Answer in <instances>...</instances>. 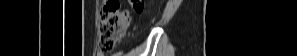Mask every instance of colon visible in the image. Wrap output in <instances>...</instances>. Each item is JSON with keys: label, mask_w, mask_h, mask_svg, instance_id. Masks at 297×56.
Listing matches in <instances>:
<instances>
[{"label": "colon", "mask_w": 297, "mask_h": 56, "mask_svg": "<svg viewBox=\"0 0 297 56\" xmlns=\"http://www.w3.org/2000/svg\"><path fill=\"white\" fill-rule=\"evenodd\" d=\"M133 7L142 11L144 2L132 0ZM131 21L128 10H122L120 3L115 0L104 2L99 18V52L109 53L113 50L116 41L122 37Z\"/></svg>", "instance_id": "1"}]
</instances>
